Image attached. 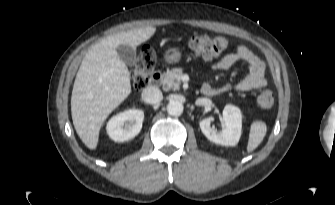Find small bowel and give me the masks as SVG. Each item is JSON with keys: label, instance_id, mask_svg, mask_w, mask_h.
Here are the masks:
<instances>
[{"label": "small bowel", "instance_id": "1", "mask_svg": "<svg viewBox=\"0 0 335 205\" xmlns=\"http://www.w3.org/2000/svg\"><path fill=\"white\" fill-rule=\"evenodd\" d=\"M239 61H245L249 64V73L236 84L235 89L237 91L247 92L266 86L267 80L265 64L257 55L244 45H240L235 51L227 53L222 58L214 62L212 64V69L226 70ZM210 87L217 91L216 94L227 92L232 89V86L229 84L220 88Z\"/></svg>", "mask_w": 335, "mask_h": 205}]
</instances>
